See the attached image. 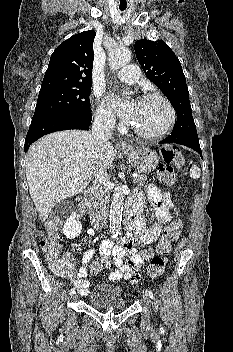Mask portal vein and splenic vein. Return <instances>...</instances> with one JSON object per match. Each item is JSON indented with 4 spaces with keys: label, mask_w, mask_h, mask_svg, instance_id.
Returning a JSON list of instances; mask_svg holds the SVG:
<instances>
[{
    "label": "portal vein and splenic vein",
    "mask_w": 233,
    "mask_h": 352,
    "mask_svg": "<svg viewBox=\"0 0 233 352\" xmlns=\"http://www.w3.org/2000/svg\"><path fill=\"white\" fill-rule=\"evenodd\" d=\"M138 177V174L137 173H134L133 174V178H137Z\"/></svg>",
    "instance_id": "18ae733b"
}]
</instances>
